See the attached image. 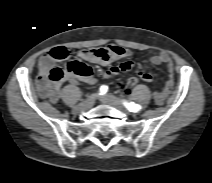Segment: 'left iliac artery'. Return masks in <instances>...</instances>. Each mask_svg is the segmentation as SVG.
<instances>
[{
	"label": "left iliac artery",
	"mask_w": 212,
	"mask_h": 183,
	"mask_svg": "<svg viewBox=\"0 0 212 183\" xmlns=\"http://www.w3.org/2000/svg\"><path fill=\"white\" fill-rule=\"evenodd\" d=\"M123 104L130 112H138L142 109L141 105L135 104L134 102L124 101Z\"/></svg>",
	"instance_id": "left-iliac-artery-1"
}]
</instances>
